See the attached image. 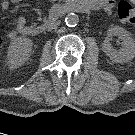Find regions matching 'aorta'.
<instances>
[{
  "mask_svg": "<svg viewBox=\"0 0 135 135\" xmlns=\"http://www.w3.org/2000/svg\"><path fill=\"white\" fill-rule=\"evenodd\" d=\"M79 22V17L75 13H69L65 18V23L69 27H75Z\"/></svg>",
  "mask_w": 135,
  "mask_h": 135,
  "instance_id": "1",
  "label": "aorta"
}]
</instances>
